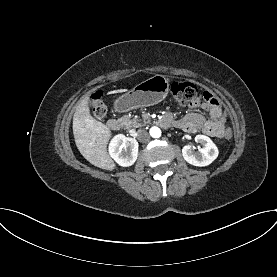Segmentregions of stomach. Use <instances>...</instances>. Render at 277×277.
<instances>
[{
	"mask_svg": "<svg viewBox=\"0 0 277 277\" xmlns=\"http://www.w3.org/2000/svg\"><path fill=\"white\" fill-rule=\"evenodd\" d=\"M169 80L163 75H155L120 96L115 102V109L120 112L140 107H148L161 102L168 94Z\"/></svg>",
	"mask_w": 277,
	"mask_h": 277,
	"instance_id": "0dacf381",
	"label": "stomach"
}]
</instances>
